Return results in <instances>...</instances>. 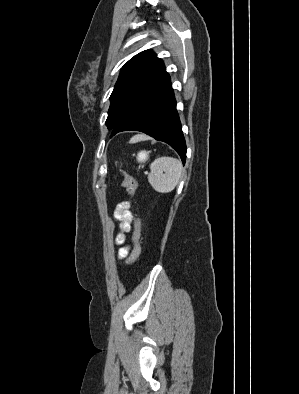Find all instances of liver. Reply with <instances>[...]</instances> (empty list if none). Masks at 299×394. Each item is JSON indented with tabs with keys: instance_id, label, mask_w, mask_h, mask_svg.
<instances>
[{
	"instance_id": "1",
	"label": "liver",
	"mask_w": 299,
	"mask_h": 394,
	"mask_svg": "<svg viewBox=\"0 0 299 394\" xmlns=\"http://www.w3.org/2000/svg\"><path fill=\"white\" fill-rule=\"evenodd\" d=\"M143 138H145V136L138 135V136L133 137L130 142H136V141L143 139Z\"/></svg>"
}]
</instances>
